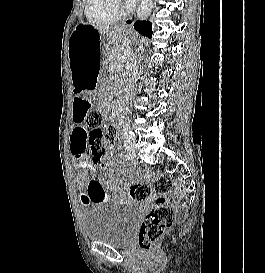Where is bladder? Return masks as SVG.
<instances>
[{"instance_id":"obj_1","label":"bladder","mask_w":265,"mask_h":273,"mask_svg":"<svg viewBox=\"0 0 265 273\" xmlns=\"http://www.w3.org/2000/svg\"><path fill=\"white\" fill-rule=\"evenodd\" d=\"M138 218V209L133 205L101 203L83 211L82 226L88 240L119 247L130 241Z\"/></svg>"}]
</instances>
